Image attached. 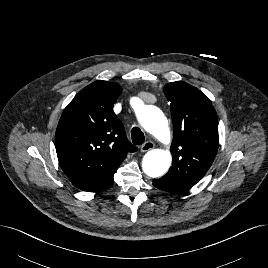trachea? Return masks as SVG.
<instances>
[{"label":"trachea","mask_w":268,"mask_h":268,"mask_svg":"<svg viewBox=\"0 0 268 268\" xmlns=\"http://www.w3.org/2000/svg\"><path fill=\"white\" fill-rule=\"evenodd\" d=\"M132 142L135 145H141L145 141L143 132L138 127H133L131 130Z\"/></svg>","instance_id":"obj_1"}]
</instances>
